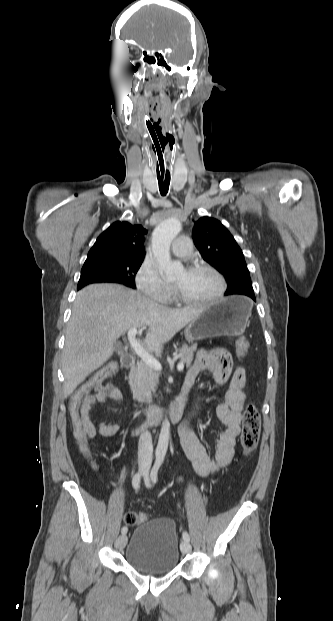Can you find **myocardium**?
Here are the masks:
<instances>
[{"mask_svg": "<svg viewBox=\"0 0 333 621\" xmlns=\"http://www.w3.org/2000/svg\"><path fill=\"white\" fill-rule=\"evenodd\" d=\"M187 270L188 271L206 270V271L211 272L219 281V290L214 296L208 299L196 300V299L188 298L182 292H180V290L176 286H174L173 293L177 301L187 304V305H192V306L210 305V304L217 302L225 295V292L227 290L226 280L224 276L222 275V273L218 269H216L214 266L208 263L195 262L191 264L187 268Z\"/></svg>", "mask_w": 333, "mask_h": 621, "instance_id": "f54148a6", "label": "myocardium"}]
</instances>
